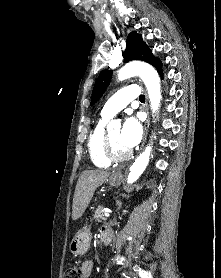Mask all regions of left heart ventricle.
Listing matches in <instances>:
<instances>
[{"label":"left heart ventricle","instance_id":"b2bd125f","mask_svg":"<svg viewBox=\"0 0 221 278\" xmlns=\"http://www.w3.org/2000/svg\"><path fill=\"white\" fill-rule=\"evenodd\" d=\"M109 135H110L111 143H112L113 150L115 153L123 154L124 152L128 151V149L125 148L119 140V136H120L119 129H114V130L109 131Z\"/></svg>","mask_w":221,"mask_h":278}]
</instances>
